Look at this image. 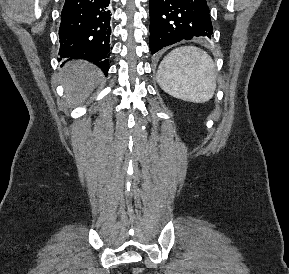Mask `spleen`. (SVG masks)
I'll return each instance as SVG.
<instances>
[{
	"label": "spleen",
	"mask_w": 289,
	"mask_h": 274,
	"mask_svg": "<svg viewBox=\"0 0 289 274\" xmlns=\"http://www.w3.org/2000/svg\"><path fill=\"white\" fill-rule=\"evenodd\" d=\"M157 82L173 97L203 103L213 97L216 89L215 64L197 47L176 48L160 63Z\"/></svg>",
	"instance_id": "spleen-1"
}]
</instances>
